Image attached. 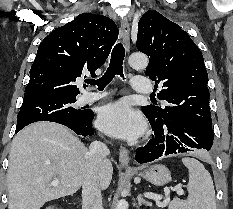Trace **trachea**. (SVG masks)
Segmentation results:
<instances>
[{
    "instance_id": "1",
    "label": "trachea",
    "mask_w": 233,
    "mask_h": 209,
    "mask_svg": "<svg viewBox=\"0 0 233 209\" xmlns=\"http://www.w3.org/2000/svg\"><path fill=\"white\" fill-rule=\"evenodd\" d=\"M125 57V49L123 47L122 43H118L115 45L110 59V64L105 72V74L95 80L91 79L88 80L87 83L90 85H97L99 90H103L116 75H120L121 77H124L123 75V61Z\"/></svg>"
}]
</instances>
